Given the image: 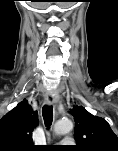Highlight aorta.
I'll use <instances>...</instances> for the list:
<instances>
[{
    "instance_id": "obj_1",
    "label": "aorta",
    "mask_w": 118,
    "mask_h": 151,
    "mask_svg": "<svg viewBox=\"0 0 118 151\" xmlns=\"http://www.w3.org/2000/svg\"><path fill=\"white\" fill-rule=\"evenodd\" d=\"M72 129H73V123L71 120L67 118L58 120L54 125V132L57 135L69 133L70 131H72Z\"/></svg>"
}]
</instances>
